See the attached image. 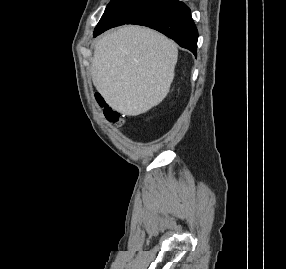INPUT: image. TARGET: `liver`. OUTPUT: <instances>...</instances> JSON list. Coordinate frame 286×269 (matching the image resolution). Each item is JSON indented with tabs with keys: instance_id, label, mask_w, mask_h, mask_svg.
<instances>
[{
	"instance_id": "6515ba94",
	"label": "liver",
	"mask_w": 286,
	"mask_h": 269,
	"mask_svg": "<svg viewBox=\"0 0 286 269\" xmlns=\"http://www.w3.org/2000/svg\"><path fill=\"white\" fill-rule=\"evenodd\" d=\"M178 50L164 35L128 25L94 45L90 72L106 103L127 116L146 113L167 96Z\"/></svg>"
}]
</instances>
